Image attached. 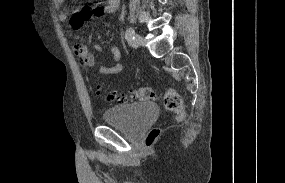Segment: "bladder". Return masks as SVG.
Segmentation results:
<instances>
[{
    "label": "bladder",
    "mask_w": 285,
    "mask_h": 183,
    "mask_svg": "<svg viewBox=\"0 0 285 183\" xmlns=\"http://www.w3.org/2000/svg\"><path fill=\"white\" fill-rule=\"evenodd\" d=\"M157 114L158 107L151 102L123 104L106 109L103 121L119 126L131 134H137L144 131Z\"/></svg>",
    "instance_id": "obj_1"
}]
</instances>
